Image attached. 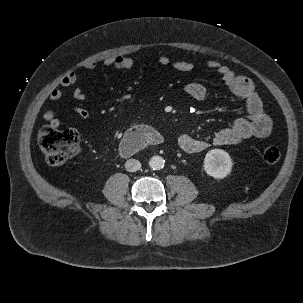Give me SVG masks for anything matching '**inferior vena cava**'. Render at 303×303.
I'll list each match as a JSON object with an SVG mask.
<instances>
[{
	"instance_id": "1",
	"label": "inferior vena cava",
	"mask_w": 303,
	"mask_h": 303,
	"mask_svg": "<svg viewBox=\"0 0 303 303\" xmlns=\"http://www.w3.org/2000/svg\"><path fill=\"white\" fill-rule=\"evenodd\" d=\"M125 168L128 172H136L141 168V163L136 159H129L125 163Z\"/></svg>"
}]
</instances>
